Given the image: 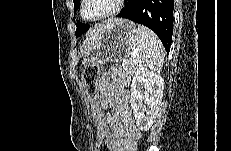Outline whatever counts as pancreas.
I'll return each mask as SVG.
<instances>
[{"label":"pancreas","instance_id":"obj_1","mask_svg":"<svg viewBox=\"0 0 231 151\" xmlns=\"http://www.w3.org/2000/svg\"><path fill=\"white\" fill-rule=\"evenodd\" d=\"M137 67L138 66L134 61H125L122 63L121 66L122 70L126 72L127 75L130 76H132L135 73Z\"/></svg>","mask_w":231,"mask_h":151}]
</instances>
